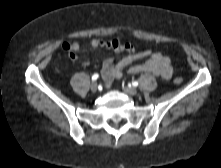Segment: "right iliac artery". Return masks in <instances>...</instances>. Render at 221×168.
Here are the masks:
<instances>
[{"mask_svg":"<svg viewBox=\"0 0 221 168\" xmlns=\"http://www.w3.org/2000/svg\"><path fill=\"white\" fill-rule=\"evenodd\" d=\"M99 75L98 74H94L92 76V81H96L98 79Z\"/></svg>","mask_w":221,"mask_h":168,"instance_id":"82829eb1","label":"right iliac artery"}]
</instances>
